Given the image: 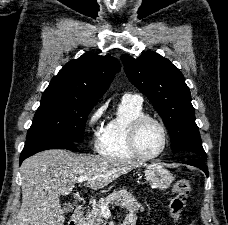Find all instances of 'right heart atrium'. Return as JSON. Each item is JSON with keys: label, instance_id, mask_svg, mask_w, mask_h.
I'll return each instance as SVG.
<instances>
[{"label": "right heart atrium", "instance_id": "1", "mask_svg": "<svg viewBox=\"0 0 228 225\" xmlns=\"http://www.w3.org/2000/svg\"><path fill=\"white\" fill-rule=\"evenodd\" d=\"M105 110L106 104H100L91 110L86 119V126L88 130L92 133L93 140L95 143L97 142L100 136L99 124Z\"/></svg>", "mask_w": 228, "mask_h": 225}]
</instances>
